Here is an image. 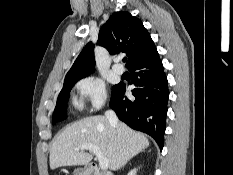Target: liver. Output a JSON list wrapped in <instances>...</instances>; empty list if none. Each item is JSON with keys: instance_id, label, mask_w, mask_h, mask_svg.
<instances>
[{"instance_id": "liver-1", "label": "liver", "mask_w": 233, "mask_h": 175, "mask_svg": "<svg viewBox=\"0 0 233 175\" xmlns=\"http://www.w3.org/2000/svg\"><path fill=\"white\" fill-rule=\"evenodd\" d=\"M84 144L100 148L109 161V168L116 170L149 146L146 136L132 130L123 122L112 126L104 116H91L67 126L53 141L50 149V168L88 164L93 155L77 150Z\"/></svg>"}]
</instances>
